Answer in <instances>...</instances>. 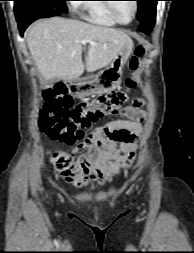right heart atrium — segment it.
I'll use <instances>...</instances> for the list:
<instances>
[{"mask_svg": "<svg viewBox=\"0 0 194 253\" xmlns=\"http://www.w3.org/2000/svg\"><path fill=\"white\" fill-rule=\"evenodd\" d=\"M79 3L77 1H72V6L74 8L78 7Z\"/></svg>", "mask_w": 194, "mask_h": 253, "instance_id": "obj_1", "label": "right heart atrium"}]
</instances>
